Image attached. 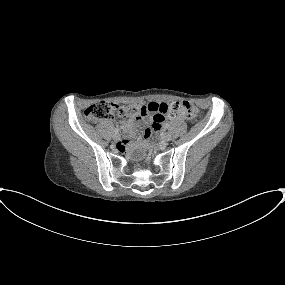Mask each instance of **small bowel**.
I'll return each instance as SVG.
<instances>
[{
    "label": "small bowel",
    "instance_id": "c3829d8e",
    "mask_svg": "<svg viewBox=\"0 0 285 285\" xmlns=\"http://www.w3.org/2000/svg\"><path fill=\"white\" fill-rule=\"evenodd\" d=\"M142 105H145L147 108V113L151 114V123L152 127L154 129H160L164 123L163 120V108L167 106L165 103H157L154 101H150L147 103H144ZM160 118H162L160 120ZM185 116H180L177 119L182 120L185 119ZM147 121L144 116H137L128 122H125L121 125L122 129L125 130L127 133L123 142L126 146L133 145L135 138H136V133L135 129L143 124H145Z\"/></svg>",
    "mask_w": 285,
    "mask_h": 285
}]
</instances>
